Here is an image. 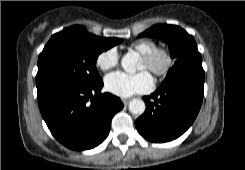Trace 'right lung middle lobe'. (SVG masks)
<instances>
[{
  "mask_svg": "<svg viewBox=\"0 0 245 170\" xmlns=\"http://www.w3.org/2000/svg\"><path fill=\"white\" fill-rule=\"evenodd\" d=\"M122 41L103 42L77 30L64 29L54 34L38 59V99L60 89L86 88L100 82L98 55Z\"/></svg>",
  "mask_w": 245,
  "mask_h": 170,
  "instance_id": "right-lung-middle-lobe-1",
  "label": "right lung middle lobe"
}]
</instances>
